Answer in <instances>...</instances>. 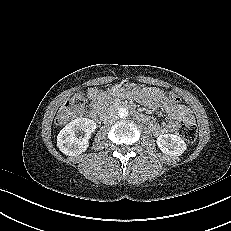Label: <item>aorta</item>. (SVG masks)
Returning a JSON list of instances; mask_svg holds the SVG:
<instances>
[{"instance_id":"obj_1","label":"aorta","mask_w":231,"mask_h":231,"mask_svg":"<svg viewBox=\"0 0 231 231\" xmlns=\"http://www.w3.org/2000/svg\"><path fill=\"white\" fill-rule=\"evenodd\" d=\"M118 116L120 118H126L128 116V109H126V108H120L118 110Z\"/></svg>"}]
</instances>
